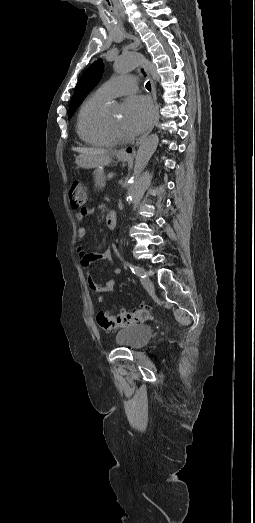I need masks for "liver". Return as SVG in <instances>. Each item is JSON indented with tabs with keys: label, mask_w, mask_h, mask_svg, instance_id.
<instances>
[{
	"label": "liver",
	"mask_w": 255,
	"mask_h": 523,
	"mask_svg": "<svg viewBox=\"0 0 255 523\" xmlns=\"http://www.w3.org/2000/svg\"><path fill=\"white\" fill-rule=\"evenodd\" d=\"M74 152H79L81 156H86V158H95L97 162L105 160L103 156H106L105 150L103 148H73Z\"/></svg>",
	"instance_id": "obj_1"
}]
</instances>
